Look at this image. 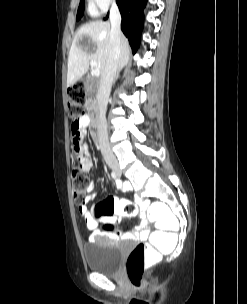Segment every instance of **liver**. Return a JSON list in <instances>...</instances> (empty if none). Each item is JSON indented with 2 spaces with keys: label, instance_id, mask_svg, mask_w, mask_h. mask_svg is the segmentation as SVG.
Returning a JSON list of instances; mask_svg holds the SVG:
<instances>
[{
  "label": "liver",
  "instance_id": "6515ba94",
  "mask_svg": "<svg viewBox=\"0 0 247 304\" xmlns=\"http://www.w3.org/2000/svg\"><path fill=\"white\" fill-rule=\"evenodd\" d=\"M110 23L94 21L81 26L76 32L68 56L67 86L78 81L89 69L91 60L97 62L100 74L103 73L110 39ZM120 56L118 67L123 68L130 56L128 40L120 37Z\"/></svg>",
  "mask_w": 247,
  "mask_h": 304
}]
</instances>
